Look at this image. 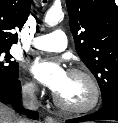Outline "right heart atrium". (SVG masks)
<instances>
[{
  "instance_id": "right-heart-atrium-1",
  "label": "right heart atrium",
  "mask_w": 118,
  "mask_h": 123,
  "mask_svg": "<svg viewBox=\"0 0 118 123\" xmlns=\"http://www.w3.org/2000/svg\"><path fill=\"white\" fill-rule=\"evenodd\" d=\"M23 91L27 96H34L36 93V84L34 82H27L23 86Z\"/></svg>"
}]
</instances>
